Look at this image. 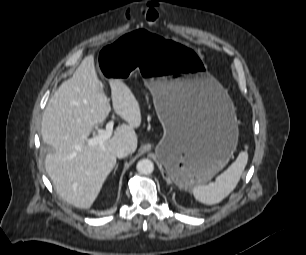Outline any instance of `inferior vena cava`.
<instances>
[{
	"mask_svg": "<svg viewBox=\"0 0 306 255\" xmlns=\"http://www.w3.org/2000/svg\"><path fill=\"white\" fill-rule=\"evenodd\" d=\"M133 152V149L130 145L128 144H122L116 147L115 149V155L117 158L121 159Z\"/></svg>",
	"mask_w": 306,
	"mask_h": 255,
	"instance_id": "602c4592",
	"label": "inferior vena cava"
}]
</instances>
